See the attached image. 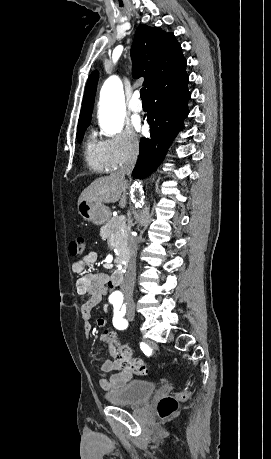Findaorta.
I'll list each match as a JSON object with an SVG mask.
<instances>
[{
  "instance_id": "762f6f07",
  "label": "aorta",
  "mask_w": 271,
  "mask_h": 459,
  "mask_svg": "<svg viewBox=\"0 0 271 459\" xmlns=\"http://www.w3.org/2000/svg\"><path fill=\"white\" fill-rule=\"evenodd\" d=\"M125 115L124 92L121 80L117 76L109 77L100 91L99 121L102 129L108 134H116L123 128ZM132 194L135 208L143 204V191L140 184Z\"/></svg>"
}]
</instances>
